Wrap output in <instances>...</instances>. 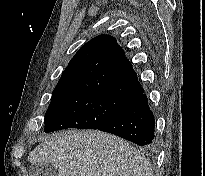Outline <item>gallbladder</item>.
<instances>
[{"instance_id":"gallbladder-1","label":"gallbladder","mask_w":205,"mask_h":176,"mask_svg":"<svg viewBox=\"0 0 205 176\" xmlns=\"http://www.w3.org/2000/svg\"><path fill=\"white\" fill-rule=\"evenodd\" d=\"M30 176H57V170L45 162L31 164L29 168Z\"/></svg>"}]
</instances>
